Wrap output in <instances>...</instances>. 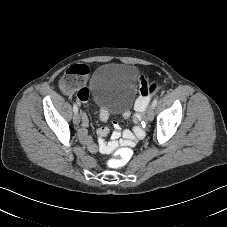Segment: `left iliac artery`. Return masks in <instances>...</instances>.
Returning <instances> with one entry per match:
<instances>
[{
  "label": "left iliac artery",
  "mask_w": 227,
  "mask_h": 227,
  "mask_svg": "<svg viewBox=\"0 0 227 227\" xmlns=\"http://www.w3.org/2000/svg\"><path fill=\"white\" fill-rule=\"evenodd\" d=\"M157 103H158V97H156L154 100H153V105H154V107L157 105Z\"/></svg>",
  "instance_id": "obj_1"
}]
</instances>
